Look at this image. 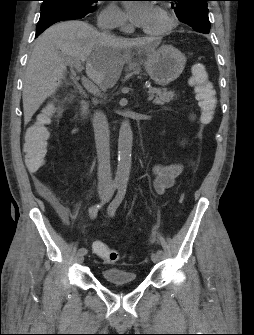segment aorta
<instances>
[{
	"label": "aorta",
	"mask_w": 254,
	"mask_h": 335,
	"mask_svg": "<svg viewBox=\"0 0 254 335\" xmlns=\"http://www.w3.org/2000/svg\"><path fill=\"white\" fill-rule=\"evenodd\" d=\"M133 133L128 119L122 121L118 138V165L114 183L117 186H126L131 169Z\"/></svg>",
	"instance_id": "obj_1"
}]
</instances>
